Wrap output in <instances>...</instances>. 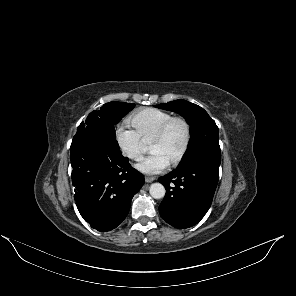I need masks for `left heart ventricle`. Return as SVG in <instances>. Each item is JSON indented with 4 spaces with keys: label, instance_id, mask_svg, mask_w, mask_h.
<instances>
[{
    "label": "left heart ventricle",
    "instance_id": "left-heart-ventricle-1",
    "mask_svg": "<svg viewBox=\"0 0 296 296\" xmlns=\"http://www.w3.org/2000/svg\"><path fill=\"white\" fill-rule=\"evenodd\" d=\"M186 138L185 127L181 122L174 123L166 137L150 145L151 152H160L172 162L181 152Z\"/></svg>",
    "mask_w": 296,
    "mask_h": 296
}]
</instances>
